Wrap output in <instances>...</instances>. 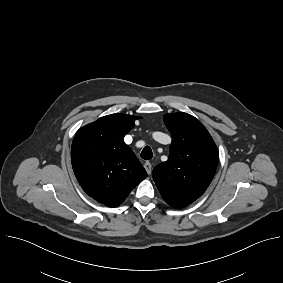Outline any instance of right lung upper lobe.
<instances>
[{
  "label": "right lung upper lobe",
  "instance_id": "obj_1",
  "mask_svg": "<svg viewBox=\"0 0 283 283\" xmlns=\"http://www.w3.org/2000/svg\"><path fill=\"white\" fill-rule=\"evenodd\" d=\"M138 117L112 114L79 129L72 142L71 161L83 190L96 201L116 207L147 177L124 136Z\"/></svg>",
  "mask_w": 283,
  "mask_h": 283
}]
</instances>
